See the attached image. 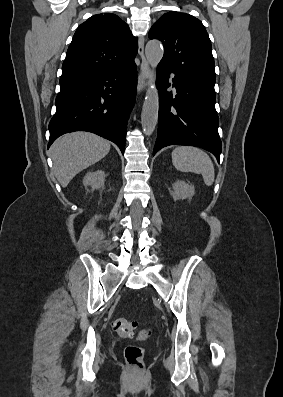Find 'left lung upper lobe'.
<instances>
[{
	"label": "left lung upper lobe",
	"mask_w": 283,
	"mask_h": 397,
	"mask_svg": "<svg viewBox=\"0 0 283 397\" xmlns=\"http://www.w3.org/2000/svg\"><path fill=\"white\" fill-rule=\"evenodd\" d=\"M150 39L164 45L161 65L212 92L216 81L211 41L202 22L186 13H165L151 27Z\"/></svg>",
	"instance_id": "obj_1"
}]
</instances>
